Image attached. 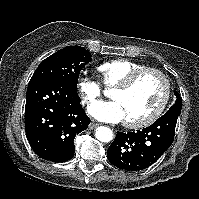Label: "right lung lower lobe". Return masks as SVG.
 I'll return each mask as SVG.
<instances>
[{"mask_svg":"<svg viewBox=\"0 0 199 199\" xmlns=\"http://www.w3.org/2000/svg\"><path fill=\"white\" fill-rule=\"evenodd\" d=\"M90 119L76 90L55 77L30 80L26 94L25 131L33 151L52 162L74 156V138Z\"/></svg>","mask_w":199,"mask_h":199,"instance_id":"1","label":"right lung lower lobe"}]
</instances>
